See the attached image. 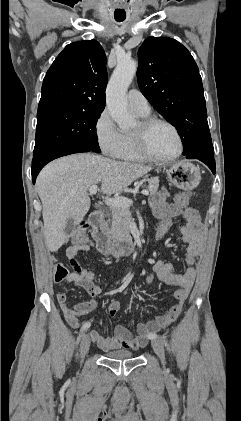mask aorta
<instances>
[{
  "instance_id": "aorta-1",
  "label": "aorta",
  "mask_w": 241,
  "mask_h": 421,
  "mask_svg": "<svg viewBox=\"0 0 241 421\" xmlns=\"http://www.w3.org/2000/svg\"><path fill=\"white\" fill-rule=\"evenodd\" d=\"M137 71V63L131 59H122L108 82L106 89V105L110 115L122 129L130 128L135 119L127 109L126 91Z\"/></svg>"
}]
</instances>
